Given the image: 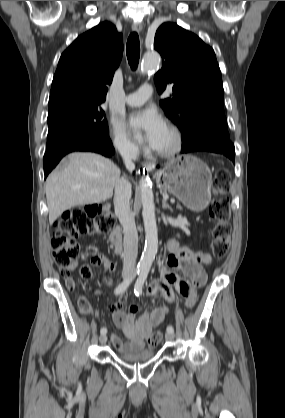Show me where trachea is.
Listing matches in <instances>:
<instances>
[{
	"label": "trachea",
	"instance_id": "1",
	"mask_svg": "<svg viewBox=\"0 0 285 418\" xmlns=\"http://www.w3.org/2000/svg\"><path fill=\"white\" fill-rule=\"evenodd\" d=\"M126 53L131 68L135 70L138 66L140 58L139 36L136 32H133L128 38Z\"/></svg>",
	"mask_w": 285,
	"mask_h": 418
}]
</instances>
